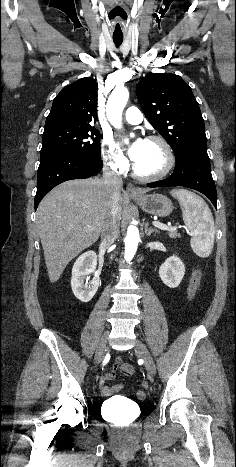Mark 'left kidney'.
Returning a JSON list of instances; mask_svg holds the SVG:
<instances>
[{
    "label": "left kidney",
    "instance_id": "left-kidney-1",
    "mask_svg": "<svg viewBox=\"0 0 236 467\" xmlns=\"http://www.w3.org/2000/svg\"><path fill=\"white\" fill-rule=\"evenodd\" d=\"M185 275V266L179 257L173 255L159 268V276L162 282L169 288H176Z\"/></svg>",
    "mask_w": 236,
    "mask_h": 467
}]
</instances>
